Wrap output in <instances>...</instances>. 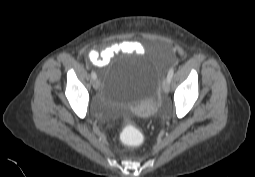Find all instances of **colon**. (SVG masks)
I'll return each mask as SVG.
<instances>
[{
    "label": "colon",
    "mask_w": 255,
    "mask_h": 177,
    "mask_svg": "<svg viewBox=\"0 0 255 177\" xmlns=\"http://www.w3.org/2000/svg\"><path fill=\"white\" fill-rule=\"evenodd\" d=\"M161 58L164 61L169 60L170 54L167 51L162 52ZM121 141L129 147H137L142 141V134L132 125H127L121 133Z\"/></svg>",
    "instance_id": "obj_1"
}]
</instances>
